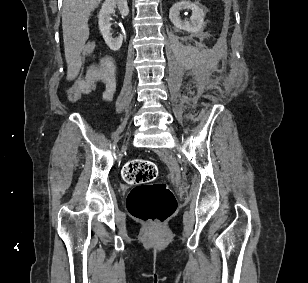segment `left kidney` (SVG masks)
Instances as JSON below:
<instances>
[{
	"label": "left kidney",
	"mask_w": 308,
	"mask_h": 283,
	"mask_svg": "<svg viewBox=\"0 0 308 283\" xmlns=\"http://www.w3.org/2000/svg\"><path fill=\"white\" fill-rule=\"evenodd\" d=\"M184 9L192 11L190 21H182L180 19V11ZM204 17V7L198 3H191L185 0L175 3L169 11V18L173 25L189 33H196L203 29Z\"/></svg>",
	"instance_id": "obj_1"
}]
</instances>
